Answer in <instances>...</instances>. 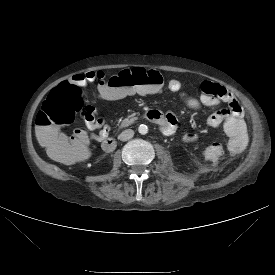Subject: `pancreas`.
I'll return each mask as SVG.
<instances>
[{"instance_id": "obj_1", "label": "pancreas", "mask_w": 275, "mask_h": 275, "mask_svg": "<svg viewBox=\"0 0 275 275\" xmlns=\"http://www.w3.org/2000/svg\"><path fill=\"white\" fill-rule=\"evenodd\" d=\"M136 119H137V118L134 117V115H130V116H128L127 118H125V119L119 121V122H118V126H119L120 128L127 127V126L133 124V123L135 122Z\"/></svg>"}]
</instances>
